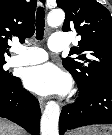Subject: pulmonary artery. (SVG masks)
<instances>
[{"label": "pulmonary artery", "instance_id": "pulmonary-artery-1", "mask_svg": "<svg viewBox=\"0 0 112 135\" xmlns=\"http://www.w3.org/2000/svg\"><path fill=\"white\" fill-rule=\"evenodd\" d=\"M66 46L67 40L64 34L55 33L49 38L48 48L51 51H62ZM14 52L16 56L11 60L14 66L32 65L47 60V53L41 48L16 46Z\"/></svg>", "mask_w": 112, "mask_h": 135}]
</instances>
